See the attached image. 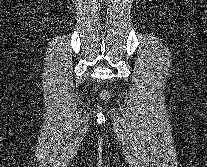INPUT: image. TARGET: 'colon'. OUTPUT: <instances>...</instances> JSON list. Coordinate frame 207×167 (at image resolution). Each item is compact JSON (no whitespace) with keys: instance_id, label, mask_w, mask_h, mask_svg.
I'll return each instance as SVG.
<instances>
[{"instance_id":"colon-1","label":"colon","mask_w":207,"mask_h":167,"mask_svg":"<svg viewBox=\"0 0 207 167\" xmlns=\"http://www.w3.org/2000/svg\"><path fill=\"white\" fill-rule=\"evenodd\" d=\"M101 96H102V98H104V99H109V98H110L109 93H108V92H105V91L101 93Z\"/></svg>"}]
</instances>
